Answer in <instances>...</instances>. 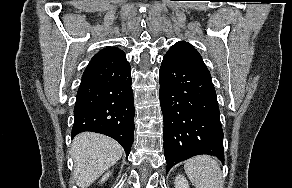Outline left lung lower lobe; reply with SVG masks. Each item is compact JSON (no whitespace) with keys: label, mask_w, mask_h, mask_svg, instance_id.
<instances>
[{"label":"left lung lower lobe","mask_w":292,"mask_h":188,"mask_svg":"<svg viewBox=\"0 0 292 188\" xmlns=\"http://www.w3.org/2000/svg\"><path fill=\"white\" fill-rule=\"evenodd\" d=\"M159 81L167 171L199 154L224 161L223 130L211 75L165 55Z\"/></svg>","instance_id":"left-lung-lower-lobe-1"}]
</instances>
